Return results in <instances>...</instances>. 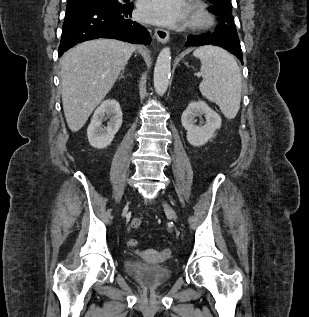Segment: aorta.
<instances>
[{"label":"aorta","instance_id":"1","mask_svg":"<svg viewBox=\"0 0 309 317\" xmlns=\"http://www.w3.org/2000/svg\"><path fill=\"white\" fill-rule=\"evenodd\" d=\"M171 75V51L170 48H163L155 64L154 88L157 94L163 95L168 88Z\"/></svg>","mask_w":309,"mask_h":317}]
</instances>
